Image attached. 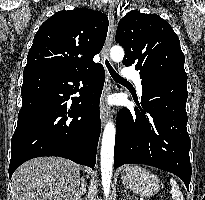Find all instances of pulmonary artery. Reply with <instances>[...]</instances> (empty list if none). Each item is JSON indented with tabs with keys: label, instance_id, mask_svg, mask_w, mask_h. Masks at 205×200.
Wrapping results in <instances>:
<instances>
[{
	"label": "pulmonary artery",
	"instance_id": "obj_1",
	"mask_svg": "<svg viewBox=\"0 0 205 200\" xmlns=\"http://www.w3.org/2000/svg\"><path fill=\"white\" fill-rule=\"evenodd\" d=\"M122 74L125 78L131 79L135 83L138 93L142 94V80L139 73L133 69L126 68Z\"/></svg>",
	"mask_w": 205,
	"mask_h": 200
}]
</instances>
